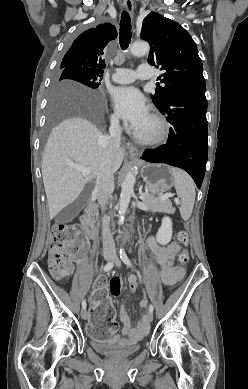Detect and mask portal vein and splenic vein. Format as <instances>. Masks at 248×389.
<instances>
[{"label":"portal vein and splenic vein","instance_id":"18ae733b","mask_svg":"<svg viewBox=\"0 0 248 389\" xmlns=\"http://www.w3.org/2000/svg\"><path fill=\"white\" fill-rule=\"evenodd\" d=\"M68 165H69L71 168H74V169L80 171V172L82 173V175L87 176V175H90V173H91L90 169L87 168V167H83V166H80V165H77V164H74V163H69ZM173 196H174V195H173L172 193H165V194H163V195H160L159 198L162 199V200H165V199H167V198H169V197H173ZM140 199H141V200H144V199H145V196H144L143 194H141V195H140Z\"/></svg>","mask_w":248,"mask_h":389}]
</instances>
